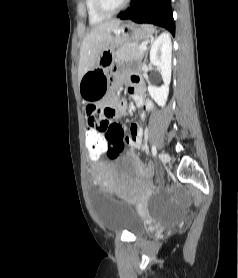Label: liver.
Masks as SVG:
<instances>
[{"label": "liver", "instance_id": "obj_1", "mask_svg": "<svg viewBox=\"0 0 238 278\" xmlns=\"http://www.w3.org/2000/svg\"><path fill=\"white\" fill-rule=\"evenodd\" d=\"M120 25L121 21L118 19L100 23L83 39L78 66L79 82L86 72L97 65L100 55L110 46L113 34L117 33Z\"/></svg>", "mask_w": 238, "mask_h": 278}]
</instances>
